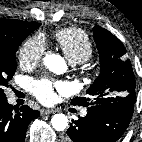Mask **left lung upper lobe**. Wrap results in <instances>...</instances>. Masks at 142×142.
Wrapping results in <instances>:
<instances>
[{
    "label": "left lung upper lobe",
    "instance_id": "left-lung-upper-lobe-1",
    "mask_svg": "<svg viewBox=\"0 0 142 142\" xmlns=\"http://www.w3.org/2000/svg\"><path fill=\"white\" fill-rule=\"evenodd\" d=\"M94 40L100 55V74L86 91L88 97L72 99L73 105L85 106L136 101L135 76L122 42L108 30L94 27Z\"/></svg>",
    "mask_w": 142,
    "mask_h": 142
}]
</instances>
